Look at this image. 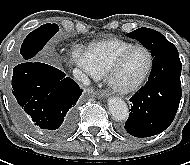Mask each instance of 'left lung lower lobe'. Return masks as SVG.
<instances>
[{"mask_svg": "<svg viewBox=\"0 0 190 165\" xmlns=\"http://www.w3.org/2000/svg\"><path fill=\"white\" fill-rule=\"evenodd\" d=\"M181 61L176 47L154 56L148 82L130 99L124 129L135 137H150L172 123L181 99Z\"/></svg>", "mask_w": 190, "mask_h": 165, "instance_id": "left-lung-lower-lobe-1", "label": "left lung lower lobe"}]
</instances>
